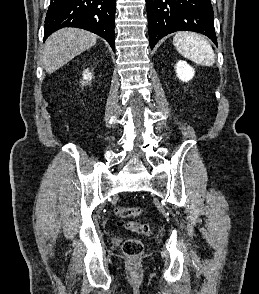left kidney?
<instances>
[{"label":"left kidney","instance_id":"left-kidney-1","mask_svg":"<svg viewBox=\"0 0 259 294\" xmlns=\"http://www.w3.org/2000/svg\"><path fill=\"white\" fill-rule=\"evenodd\" d=\"M175 68L177 77L183 82L191 80L194 76V69L186 61H178Z\"/></svg>","mask_w":259,"mask_h":294}]
</instances>
